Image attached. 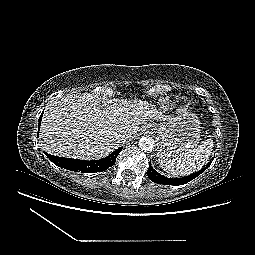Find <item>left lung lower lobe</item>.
Returning <instances> with one entry per match:
<instances>
[{
	"label": "left lung lower lobe",
	"instance_id": "1",
	"mask_svg": "<svg viewBox=\"0 0 255 255\" xmlns=\"http://www.w3.org/2000/svg\"><path fill=\"white\" fill-rule=\"evenodd\" d=\"M212 162V161H211ZM211 162H209L208 165H206L203 169H201L200 171L193 173L189 176L186 177H182V178H168L165 177L163 175H161L160 173H158L157 171H155L153 169V167L151 166V164H149V168H148V177L151 181L158 183V184H165V185H183L188 183L189 181L193 180L194 178H196L197 176H199L201 173H203L211 164Z\"/></svg>",
	"mask_w": 255,
	"mask_h": 255
}]
</instances>
